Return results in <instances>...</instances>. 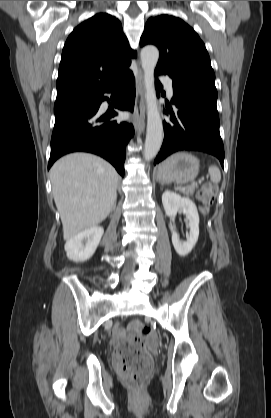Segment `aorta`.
I'll return each instance as SVG.
<instances>
[{"label": "aorta", "mask_w": 271, "mask_h": 418, "mask_svg": "<svg viewBox=\"0 0 271 418\" xmlns=\"http://www.w3.org/2000/svg\"><path fill=\"white\" fill-rule=\"evenodd\" d=\"M159 59L155 46H146L141 50V64L144 72L145 98L147 103V131L143 156L152 160L159 152L163 141V124L157 104L154 84V70Z\"/></svg>", "instance_id": "obj_1"}]
</instances>
